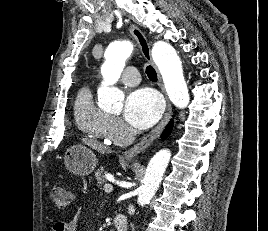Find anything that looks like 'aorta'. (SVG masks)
Returning a JSON list of instances; mask_svg holds the SVG:
<instances>
[{
	"instance_id": "1",
	"label": "aorta",
	"mask_w": 268,
	"mask_h": 231,
	"mask_svg": "<svg viewBox=\"0 0 268 231\" xmlns=\"http://www.w3.org/2000/svg\"><path fill=\"white\" fill-rule=\"evenodd\" d=\"M133 47L129 42L111 43L105 51V62L101 67L103 81L98 89V100L101 108L120 110L123 107L124 94L114 87L131 56ZM152 58L157 65L171 102L179 109L189 104V93L183 76L181 60L176 50L167 42L157 41L152 47ZM171 153L168 149L159 150L148 163L142 184L138 189V204L149 203L157 191Z\"/></svg>"
}]
</instances>
